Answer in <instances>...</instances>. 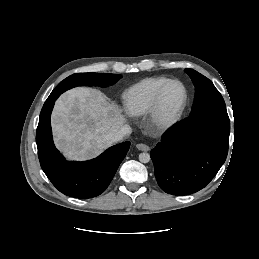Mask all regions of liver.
Masks as SVG:
<instances>
[{
    "label": "liver",
    "instance_id": "6515ba94",
    "mask_svg": "<svg viewBox=\"0 0 259 259\" xmlns=\"http://www.w3.org/2000/svg\"><path fill=\"white\" fill-rule=\"evenodd\" d=\"M121 110L99 90L79 87L56 101L51 125L56 147L70 160H88L112 145L106 135L124 126Z\"/></svg>",
    "mask_w": 259,
    "mask_h": 259
}]
</instances>
